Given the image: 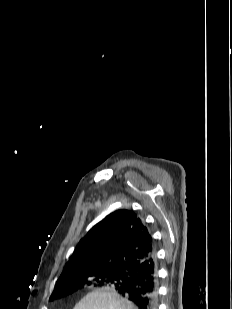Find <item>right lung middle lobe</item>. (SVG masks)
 Instances as JSON below:
<instances>
[{
	"label": "right lung middle lobe",
	"instance_id": "obj_1",
	"mask_svg": "<svg viewBox=\"0 0 232 309\" xmlns=\"http://www.w3.org/2000/svg\"><path fill=\"white\" fill-rule=\"evenodd\" d=\"M128 280V273L122 271L93 270L84 272L73 279L56 284L50 300L69 295L84 286H111L115 288L126 284Z\"/></svg>",
	"mask_w": 232,
	"mask_h": 309
}]
</instances>
